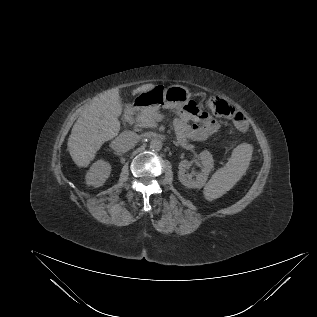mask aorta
Segmentation results:
<instances>
[{
  "label": "aorta",
  "mask_w": 317,
  "mask_h": 317,
  "mask_svg": "<svg viewBox=\"0 0 317 317\" xmlns=\"http://www.w3.org/2000/svg\"><path fill=\"white\" fill-rule=\"evenodd\" d=\"M162 141L159 139H152L150 141V149L152 151H160L162 149Z\"/></svg>",
  "instance_id": "aorta-1"
}]
</instances>
